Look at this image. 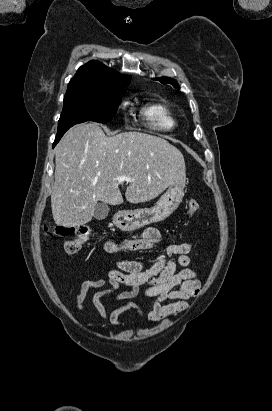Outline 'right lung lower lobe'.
<instances>
[{
	"mask_svg": "<svg viewBox=\"0 0 272 411\" xmlns=\"http://www.w3.org/2000/svg\"><path fill=\"white\" fill-rule=\"evenodd\" d=\"M61 137H62V136H56L55 141H54V143H53V146H55V145L59 142V140L61 139Z\"/></svg>",
	"mask_w": 272,
	"mask_h": 411,
	"instance_id": "right-lung-lower-lobe-1",
	"label": "right lung lower lobe"
}]
</instances>
